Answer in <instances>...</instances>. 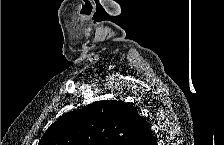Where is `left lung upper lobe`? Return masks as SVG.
Returning <instances> with one entry per match:
<instances>
[{
	"label": "left lung upper lobe",
	"mask_w": 224,
	"mask_h": 145,
	"mask_svg": "<svg viewBox=\"0 0 224 145\" xmlns=\"http://www.w3.org/2000/svg\"><path fill=\"white\" fill-rule=\"evenodd\" d=\"M143 121L133 105L98 101L61 116L39 145H131Z\"/></svg>",
	"instance_id": "left-lung-upper-lobe-1"
}]
</instances>
